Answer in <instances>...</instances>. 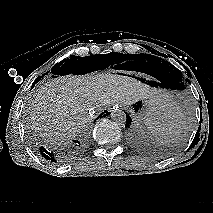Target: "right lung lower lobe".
I'll return each mask as SVG.
<instances>
[{
    "label": "right lung lower lobe",
    "instance_id": "1",
    "mask_svg": "<svg viewBox=\"0 0 213 213\" xmlns=\"http://www.w3.org/2000/svg\"><path fill=\"white\" fill-rule=\"evenodd\" d=\"M54 77V76H53ZM41 79V77H38L35 82L34 85ZM110 113L107 112V110H105L100 117H104L109 115ZM82 148V143H80L77 140H73L72 145L70 146H49V145H45V146H40L39 151L41 153V155L52 162L55 163H62L65 162L69 159H72L74 156H76L77 154L80 153Z\"/></svg>",
    "mask_w": 213,
    "mask_h": 213
}]
</instances>
